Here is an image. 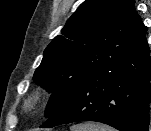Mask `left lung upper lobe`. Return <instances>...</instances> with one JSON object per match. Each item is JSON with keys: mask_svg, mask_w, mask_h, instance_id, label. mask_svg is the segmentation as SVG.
<instances>
[{"mask_svg": "<svg viewBox=\"0 0 151 131\" xmlns=\"http://www.w3.org/2000/svg\"><path fill=\"white\" fill-rule=\"evenodd\" d=\"M134 0H86L46 47L33 81L52 93L45 117L54 115L90 73L118 67L134 50L139 20Z\"/></svg>", "mask_w": 151, "mask_h": 131, "instance_id": "obj_1", "label": "left lung upper lobe"}]
</instances>
